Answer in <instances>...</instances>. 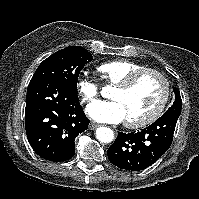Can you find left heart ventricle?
I'll list each match as a JSON object with an SVG mask.
<instances>
[{"instance_id": "1", "label": "left heart ventricle", "mask_w": 199, "mask_h": 199, "mask_svg": "<svg viewBox=\"0 0 199 199\" xmlns=\"http://www.w3.org/2000/svg\"><path fill=\"white\" fill-rule=\"evenodd\" d=\"M162 94V81L153 74H147L128 91L114 88L111 98L121 103L126 120H138L153 111Z\"/></svg>"}]
</instances>
